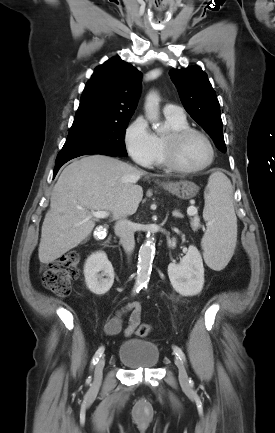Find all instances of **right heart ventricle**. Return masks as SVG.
I'll use <instances>...</instances> for the list:
<instances>
[{"mask_svg":"<svg viewBox=\"0 0 275 433\" xmlns=\"http://www.w3.org/2000/svg\"><path fill=\"white\" fill-rule=\"evenodd\" d=\"M165 119L170 131L180 130L189 127L188 121L185 117L175 118V117L165 116ZM164 138H165L164 135H160V134L155 135L157 154L155 157L154 164L159 167L166 166L165 156H164Z\"/></svg>","mask_w":275,"mask_h":433,"instance_id":"e07e8e85","label":"right heart ventricle"}]
</instances>
